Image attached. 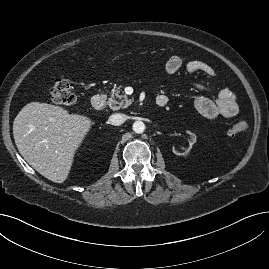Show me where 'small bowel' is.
Here are the masks:
<instances>
[{"mask_svg":"<svg viewBox=\"0 0 269 269\" xmlns=\"http://www.w3.org/2000/svg\"><path fill=\"white\" fill-rule=\"evenodd\" d=\"M183 65L179 56H171L165 63L167 73L177 74ZM185 69L188 73L201 72L209 77L215 76L214 69L206 62L191 60L186 63ZM195 87L201 91H209L210 88L202 83H196ZM160 96V95H158ZM157 96V97H158ZM196 110L207 119H216L218 117L233 118L238 113V104L236 95L228 90L222 89L217 93L216 100H211L205 96H199L194 101Z\"/></svg>","mask_w":269,"mask_h":269,"instance_id":"small-bowel-1","label":"small bowel"}]
</instances>
